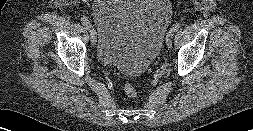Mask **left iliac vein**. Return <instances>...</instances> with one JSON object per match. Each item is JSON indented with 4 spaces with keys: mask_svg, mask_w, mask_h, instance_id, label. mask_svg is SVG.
Wrapping results in <instances>:
<instances>
[{
    "mask_svg": "<svg viewBox=\"0 0 253 131\" xmlns=\"http://www.w3.org/2000/svg\"><path fill=\"white\" fill-rule=\"evenodd\" d=\"M173 36H174V32L169 30L166 35V45H167L168 49H170L172 47Z\"/></svg>",
    "mask_w": 253,
    "mask_h": 131,
    "instance_id": "4c4485c4",
    "label": "left iliac vein"
}]
</instances>
